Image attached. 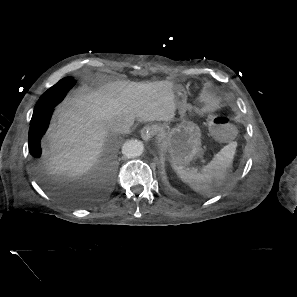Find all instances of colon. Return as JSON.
<instances>
[{
	"label": "colon",
	"instance_id": "5ec220e1",
	"mask_svg": "<svg viewBox=\"0 0 297 297\" xmlns=\"http://www.w3.org/2000/svg\"><path fill=\"white\" fill-rule=\"evenodd\" d=\"M210 129L213 135L220 140H229L235 133V128L229 122L228 115L224 111L211 116Z\"/></svg>",
	"mask_w": 297,
	"mask_h": 297
}]
</instances>
